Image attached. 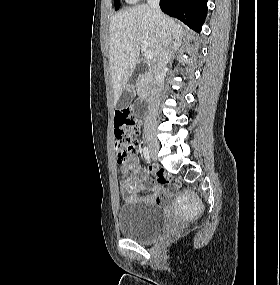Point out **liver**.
I'll return each instance as SVG.
<instances>
[{"mask_svg": "<svg viewBox=\"0 0 280 285\" xmlns=\"http://www.w3.org/2000/svg\"><path fill=\"white\" fill-rule=\"evenodd\" d=\"M171 36V43L180 40L183 27L172 18L163 15ZM156 53L157 25L151 8L138 5L113 15L109 25V61L114 90V104L138 63L141 41Z\"/></svg>", "mask_w": 280, "mask_h": 285, "instance_id": "liver-1", "label": "liver"}]
</instances>
